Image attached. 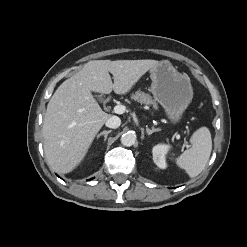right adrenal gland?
<instances>
[{
    "label": "right adrenal gland",
    "instance_id": "1",
    "mask_svg": "<svg viewBox=\"0 0 247 247\" xmlns=\"http://www.w3.org/2000/svg\"><path fill=\"white\" fill-rule=\"evenodd\" d=\"M109 133H111V130L103 131V132L99 133V134L97 135V140H98L101 136H104V142H105Z\"/></svg>",
    "mask_w": 247,
    "mask_h": 247
}]
</instances>
